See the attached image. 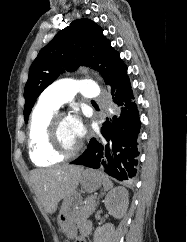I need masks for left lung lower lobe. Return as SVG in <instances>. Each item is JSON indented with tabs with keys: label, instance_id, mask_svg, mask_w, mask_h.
<instances>
[{
	"label": "left lung lower lobe",
	"instance_id": "obj_1",
	"mask_svg": "<svg viewBox=\"0 0 187 242\" xmlns=\"http://www.w3.org/2000/svg\"><path fill=\"white\" fill-rule=\"evenodd\" d=\"M110 93L119 112L107 118L101 128L102 136L92 138L84 153L70 164L101 169L120 181L128 180L136 174L141 123L127 74L110 86Z\"/></svg>",
	"mask_w": 187,
	"mask_h": 242
}]
</instances>
